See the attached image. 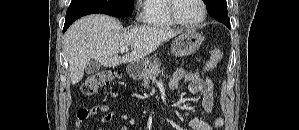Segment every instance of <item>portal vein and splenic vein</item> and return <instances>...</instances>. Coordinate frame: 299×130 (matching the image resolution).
Returning <instances> with one entry per match:
<instances>
[{
  "label": "portal vein and splenic vein",
  "instance_id": "portal-vein-and-splenic-vein-1",
  "mask_svg": "<svg viewBox=\"0 0 299 130\" xmlns=\"http://www.w3.org/2000/svg\"><path fill=\"white\" fill-rule=\"evenodd\" d=\"M129 48L127 46H123L120 48V52H127Z\"/></svg>",
  "mask_w": 299,
  "mask_h": 130
}]
</instances>
